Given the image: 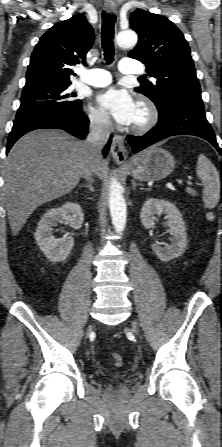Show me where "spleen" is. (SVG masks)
<instances>
[{
    "mask_svg": "<svg viewBox=\"0 0 222 447\" xmlns=\"http://www.w3.org/2000/svg\"><path fill=\"white\" fill-rule=\"evenodd\" d=\"M197 176L203 183V202L207 208H214L220 198V177L214 164L203 154L198 157Z\"/></svg>",
    "mask_w": 222,
    "mask_h": 447,
    "instance_id": "1",
    "label": "spleen"
}]
</instances>
